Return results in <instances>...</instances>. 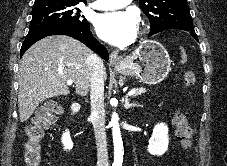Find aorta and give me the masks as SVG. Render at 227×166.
Listing matches in <instances>:
<instances>
[{
	"label": "aorta",
	"mask_w": 227,
	"mask_h": 166,
	"mask_svg": "<svg viewBox=\"0 0 227 166\" xmlns=\"http://www.w3.org/2000/svg\"><path fill=\"white\" fill-rule=\"evenodd\" d=\"M118 115L116 113L112 114L111 125L113 127V141H114V165L121 166L123 161V142L121 138Z\"/></svg>",
	"instance_id": "1"
}]
</instances>
